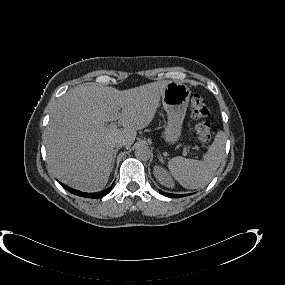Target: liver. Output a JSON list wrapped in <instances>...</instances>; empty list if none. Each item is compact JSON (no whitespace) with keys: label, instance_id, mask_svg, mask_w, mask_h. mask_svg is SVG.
<instances>
[{"label":"liver","instance_id":"6515ba94","mask_svg":"<svg viewBox=\"0 0 285 285\" xmlns=\"http://www.w3.org/2000/svg\"><path fill=\"white\" fill-rule=\"evenodd\" d=\"M169 81L127 90L82 84L62 95L45 131L47 163L62 183L85 192L103 189L109 179L114 142L134 143L137 130L153 120ZM119 120L123 128L106 124Z\"/></svg>","mask_w":285,"mask_h":285}]
</instances>
